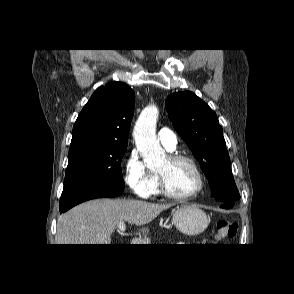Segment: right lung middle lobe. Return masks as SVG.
Segmentation results:
<instances>
[{
  "mask_svg": "<svg viewBox=\"0 0 294 294\" xmlns=\"http://www.w3.org/2000/svg\"><path fill=\"white\" fill-rule=\"evenodd\" d=\"M127 146L82 143L70 146L62 194L94 185L123 186L121 160Z\"/></svg>",
  "mask_w": 294,
  "mask_h": 294,
  "instance_id": "right-lung-middle-lobe-1",
  "label": "right lung middle lobe"
}]
</instances>
